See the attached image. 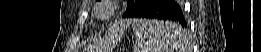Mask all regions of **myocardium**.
Instances as JSON below:
<instances>
[{
  "instance_id": "f54148a6",
  "label": "myocardium",
  "mask_w": 261,
  "mask_h": 52,
  "mask_svg": "<svg viewBox=\"0 0 261 52\" xmlns=\"http://www.w3.org/2000/svg\"><path fill=\"white\" fill-rule=\"evenodd\" d=\"M120 2L118 0L101 1L95 10V16L101 20L110 19L119 11Z\"/></svg>"
}]
</instances>
